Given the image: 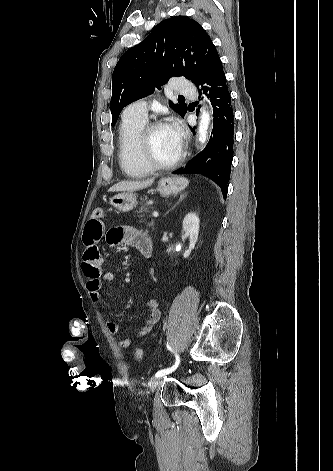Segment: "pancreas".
Returning <instances> with one entry per match:
<instances>
[{
	"mask_svg": "<svg viewBox=\"0 0 333 471\" xmlns=\"http://www.w3.org/2000/svg\"><path fill=\"white\" fill-rule=\"evenodd\" d=\"M148 206H149V204L146 203V204H144V205L139 209V211H138V213H139L138 217L141 219L139 222H140V223H144V222H145V223H147V226H148V227L154 228V222H153V221H152V222H146V220H145V218H144V217H145L144 212H145V213H148V212H149V211H148ZM147 218H150V216H147Z\"/></svg>",
	"mask_w": 333,
	"mask_h": 471,
	"instance_id": "1",
	"label": "pancreas"
}]
</instances>
